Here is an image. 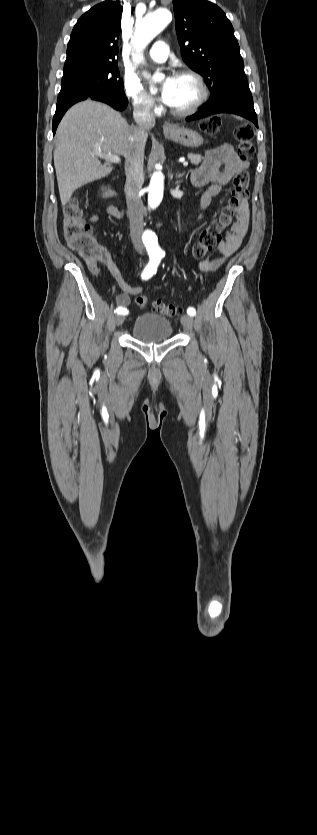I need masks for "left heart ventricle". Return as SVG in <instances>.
<instances>
[{
    "label": "left heart ventricle",
    "instance_id": "1",
    "mask_svg": "<svg viewBox=\"0 0 317 835\" xmlns=\"http://www.w3.org/2000/svg\"><path fill=\"white\" fill-rule=\"evenodd\" d=\"M198 95L195 82L187 77H175V88L170 107L185 109L189 107Z\"/></svg>",
    "mask_w": 317,
    "mask_h": 835
}]
</instances>
